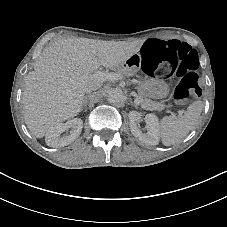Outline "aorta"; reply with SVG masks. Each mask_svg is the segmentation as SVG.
Masks as SVG:
<instances>
[{"mask_svg":"<svg viewBox=\"0 0 227 227\" xmlns=\"http://www.w3.org/2000/svg\"><path fill=\"white\" fill-rule=\"evenodd\" d=\"M124 95L121 89H111L107 93V100L109 103L116 104L123 100Z\"/></svg>","mask_w":227,"mask_h":227,"instance_id":"762f6f07","label":"aorta"}]
</instances>
